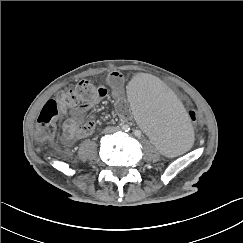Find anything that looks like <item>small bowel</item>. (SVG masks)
<instances>
[{
	"instance_id": "obj_1",
	"label": "small bowel",
	"mask_w": 243,
	"mask_h": 243,
	"mask_svg": "<svg viewBox=\"0 0 243 243\" xmlns=\"http://www.w3.org/2000/svg\"><path fill=\"white\" fill-rule=\"evenodd\" d=\"M107 81L111 86V95L114 99L115 108L118 116L122 120H128L131 116V111L127 105L125 94L123 93V77L117 72L113 71L109 74ZM106 86H99L96 89L98 99L86 103L79 109L73 110L63 125V139L67 143L83 139L94 131L95 124L92 119H85V113L88 109L93 107L101 98H105L107 94Z\"/></svg>"
}]
</instances>
